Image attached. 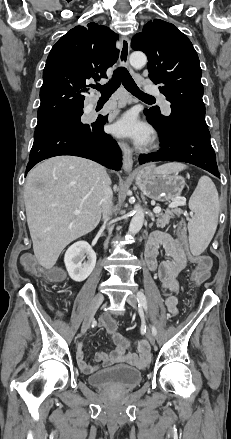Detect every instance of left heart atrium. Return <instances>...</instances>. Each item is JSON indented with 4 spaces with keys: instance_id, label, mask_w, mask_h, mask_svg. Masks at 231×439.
<instances>
[{
    "instance_id": "left-heart-atrium-1",
    "label": "left heart atrium",
    "mask_w": 231,
    "mask_h": 439,
    "mask_svg": "<svg viewBox=\"0 0 231 439\" xmlns=\"http://www.w3.org/2000/svg\"><path fill=\"white\" fill-rule=\"evenodd\" d=\"M112 131L118 136L131 137L140 144L148 142L151 138L150 129L139 122L133 112H128L117 120L112 126Z\"/></svg>"
}]
</instances>
